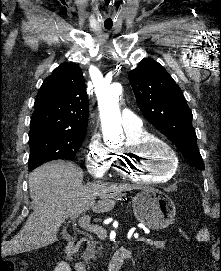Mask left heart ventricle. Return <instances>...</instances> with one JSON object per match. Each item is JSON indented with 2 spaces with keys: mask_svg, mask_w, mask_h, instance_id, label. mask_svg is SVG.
I'll use <instances>...</instances> for the list:
<instances>
[{
  "mask_svg": "<svg viewBox=\"0 0 221 271\" xmlns=\"http://www.w3.org/2000/svg\"><path fill=\"white\" fill-rule=\"evenodd\" d=\"M154 153H160V152H148V155H144V156H150L151 160L150 161H140V163H164V158H154L153 154ZM137 160H140V157H137Z\"/></svg>",
  "mask_w": 221,
  "mask_h": 271,
  "instance_id": "b2bd125f",
  "label": "left heart ventricle"
}]
</instances>
